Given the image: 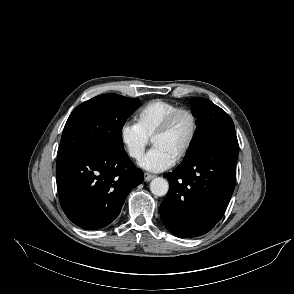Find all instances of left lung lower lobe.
<instances>
[{
    "mask_svg": "<svg viewBox=\"0 0 294 294\" xmlns=\"http://www.w3.org/2000/svg\"><path fill=\"white\" fill-rule=\"evenodd\" d=\"M236 135L215 139L168 173L170 189L160 216L175 236L197 237L220 221L235 187Z\"/></svg>",
    "mask_w": 294,
    "mask_h": 294,
    "instance_id": "0a47b994",
    "label": "left lung lower lobe"
}]
</instances>
